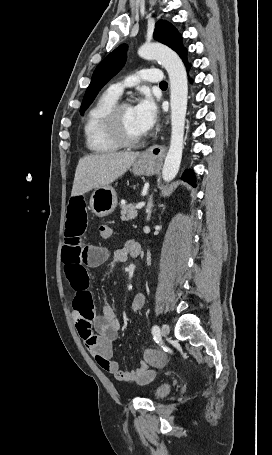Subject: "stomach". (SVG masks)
<instances>
[{
	"label": "stomach",
	"mask_w": 272,
	"mask_h": 455,
	"mask_svg": "<svg viewBox=\"0 0 272 455\" xmlns=\"http://www.w3.org/2000/svg\"><path fill=\"white\" fill-rule=\"evenodd\" d=\"M157 161L147 154H140L132 164L134 175H153L157 171ZM117 206L115 189L108 185L95 189L90 198V209L98 217L111 214Z\"/></svg>",
	"instance_id": "stomach-1"
}]
</instances>
